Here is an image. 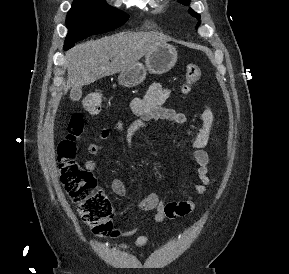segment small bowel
I'll use <instances>...</instances> for the list:
<instances>
[{
    "label": "small bowel",
    "instance_id": "c3829d8e",
    "mask_svg": "<svg viewBox=\"0 0 289 274\" xmlns=\"http://www.w3.org/2000/svg\"><path fill=\"white\" fill-rule=\"evenodd\" d=\"M171 95V89L164 87L160 83H153L144 94V96L137 98L133 102V111L138 117V120L126 126L123 121L115 124L116 131H127V136L130 137L138 127L143 123H148L154 120H166L177 124H184L187 117L184 113L178 112L172 108L166 107L164 104ZM214 112L208 103L204 104V109L200 115V126L196 131L188 129L187 135L189 137L188 148L193 160L197 165L198 182L194 184L192 192L181 201L164 202L161 201L156 193H149L146 197L137 202V207L142 211L154 210L155 214L153 221L162 223L168 219H176L191 214L197 202L194 196L203 195L207 188L214 183V178L208 174L210 157L205 147L209 143H215L214 140ZM112 131L109 128H104L98 139L100 141L110 138ZM88 152L92 155H100L103 152V146L100 143H92L88 147ZM85 169L89 172H94L97 169V163L94 160H87L84 163ZM189 168L187 167V172ZM112 191L124 198L131 199V194L120 179H114L111 183ZM137 234L136 229L117 228L111 232L113 237H131ZM149 242L146 235H139L136 237L132 245L121 243L119 246L122 249L131 247L140 248Z\"/></svg>",
    "mask_w": 289,
    "mask_h": 274
}]
</instances>
